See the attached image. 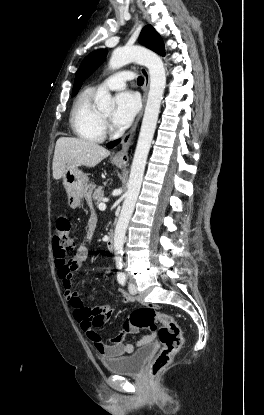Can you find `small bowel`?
<instances>
[{
    "mask_svg": "<svg viewBox=\"0 0 264 415\" xmlns=\"http://www.w3.org/2000/svg\"><path fill=\"white\" fill-rule=\"evenodd\" d=\"M95 218L97 223V217L95 213H92L90 218L87 221V232L88 235L91 236L92 231L94 228L89 224V221ZM90 254V246L89 244H81L76 249V254L73 259H68L67 254L60 255L57 251L55 252L56 258V265L59 271V277L62 281L63 285V295L65 300L68 302L69 307L71 308L72 314L75 320L79 323L81 330L87 335L88 338L93 342L96 350L98 353L106 359L120 357L126 353H132L135 349L139 346L147 344L151 341V336H144L140 339L137 343H124L123 337L124 335L121 333L114 337L111 342H104L100 337L97 340L93 339V336L98 335L92 327V319L93 317L101 313L105 319H110L116 308V304H107L101 307L100 309H87L84 307L80 291L75 289L72 282V273L81 268L83 263L87 260ZM109 267L104 266L102 268V272L105 274L109 273ZM121 296L124 303H133L135 301V297L126 294L124 291H121ZM127 320V319H126ZM124 330L129 331L130 333H137L139 332V328L129 325L124 322Z\"/></svg>",
    "mask_w": 264,
    "mask_h": 415,
    "instance_id": "obj_1",
    "label": "small bowel"
}]
</instances>
